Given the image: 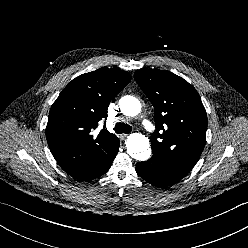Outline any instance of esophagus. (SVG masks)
<instances>
[{
	"label": "esophagus",
	"instance_id": "34e87169",
	"mask_svg": "<svg viewBox=\"0 0 248 248\" xmlns=\"http://www.w3.org/2000/svg\"><path fill=\"white\" fill-rule=\"evenodd\" d=\"M127 136H128V134H122V135H121V138H122V139H125Z\"/></svg>",
	"mask_w": 248,
	"mask_h": 248
}]
</instances>
